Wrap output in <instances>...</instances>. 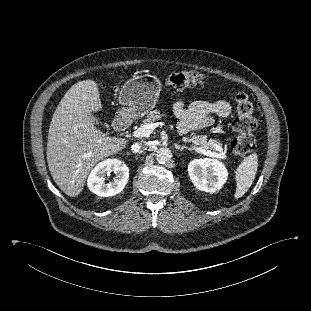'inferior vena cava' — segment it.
Here are the masks:
<instances>
[{"instance_id":"inferior-vena-cava-1","label":"inferior vena cava","mask_w":311,"mask_h":311,"mask_svg":"<svg viewBox=\"0 0 311 311\" xmlns=\"http://www.w3.org/2000/svg\"><path fill=\"white\" fill-rule=\"evenodd\" d=\"M147 149V143L143 142V143H135L131 146V151L133 153H139V152H143Z\"/></svg>"}]
</instances>
